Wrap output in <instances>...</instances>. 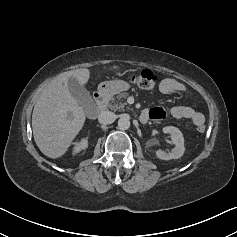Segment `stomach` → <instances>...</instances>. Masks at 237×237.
I'll list each match as a JSON object with an SVG mask.
<instances>
[{
	"instance_id": "1",
	"label": "stomach",
	"mask_w": 237,
	"mask_h": 237,
	"mask_svg": "<svg viewBox=\"0 0 237 237\" xmlns=\"http://www.w3.org/2000/svg\"><path fill=\"white\" fill-rule=\"evenodd\" d=\"M130 84L124 80L114 79L102 82L98 85V91L111 98L115 94H119L120 92L126 91L130 89Z\"/></svg>"
}]
</instances>
